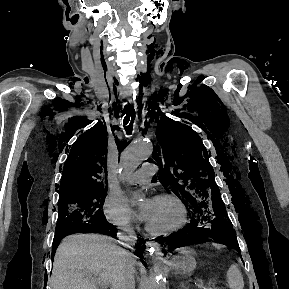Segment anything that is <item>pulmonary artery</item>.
I'll list each match as a JSON object with an SVG mask.
<instances>
[{
	"instance_id": "1",
	"label": "pulmonary artery",
	"mask_w": 289,
	"mask_h": 289,
	"mask_svg": "<svg viewBox=\"0 0 289 289\" xmlns=\"http://www.w3.org/2000/svg\"><path fill=\"white\" fill-rule=\"evenodd\" d=\"M157 169L158 168L154 163H144L139 170L135 171L127 178V181L133 185L148 183L157 172Z\"/></svg>"
}]
</instances>
